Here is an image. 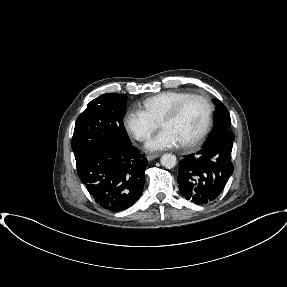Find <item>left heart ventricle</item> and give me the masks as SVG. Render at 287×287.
Here are the masks:
<instances>
[{"label": "left heart ventricle", "instance_id": "obj_1", "mask_svg": "<svg viewBox=\"0 0 287 287\" xmlns=\"http://www.w3.org/2000/svg\"><path fill=\"white\" fill-rule=\"evenodd\" d=\"M205 119V106L200 100H190L173 119L160 122L163 129L172 130L181 143L195 137L201 130Z\"/></svg>", "mask_w": 287, "mask_h": 287}]
</instances>
